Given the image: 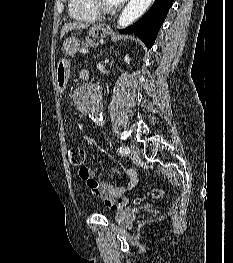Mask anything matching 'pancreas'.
Masks as SVG:
<instances>
[{
    "label": "pancreas",
    "instance_id": "pancreas-1",
    "mask_svg": "<svg viewBox=\"0 0 233 263\" xmlns=\"http://www.w3.org/2000/svg\"><path fill=\"white\" fill-rule=\"evenodd\" d=\"M97 45H98L97 42L90 39H86L85 41L82 42L81 47L85 50H88L89 47H94Z\"/></svg>",
    "mask_w": 233,
    "mask_h": 263
}]
</instances>
